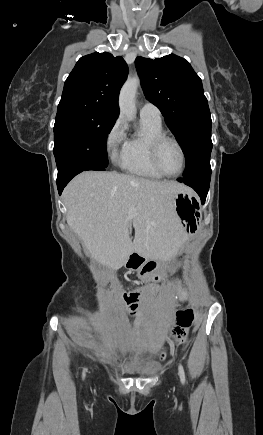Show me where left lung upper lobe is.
<instances>
[{
	"instance_id": "5c2ea615",
	"label": "left lung upper lobe",
	"mask_w": 263,
	"mask_h": 435,
	"mask_svg": "<svg viewBox=\"0 0 263 435\" xmlns=\"http://www.w3.org/2000/svg\"><path fill=\"white\" fill-rule=\"evenodd\" d=\"M146 98L156 105L183 149L185 175L210 162L211 117L202 81L191 65L174 54L155 60L137 57Z\"/></svg>"
}]
</instances>
